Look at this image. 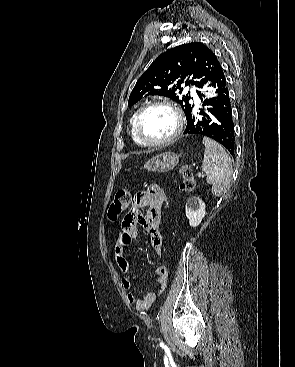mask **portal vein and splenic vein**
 Returning a JSON list of instances; mask_svg holds the SVG:
<instances>
[{
	"mask_svg": "<svg viewBox=\"0 0 295 367\" xmlns=\"http://www.w3.org/2000/svg\"><path fill=\"white\" fill-rule=\"evenodd\" d=\"M198 178H204V175L200 172L197 173Z\"/></svg>",
	"mask_w": 295,
	"mask_h": 367,
	"instance_id": "18ae733b",
	"label": "portal vein and splenic vein"
}]
</instances>
